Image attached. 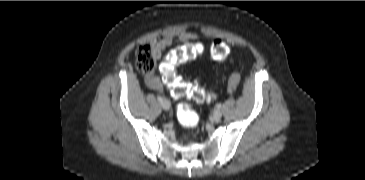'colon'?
Instances as JSON below:
<instances>
[{"instance_id": "colon-1", "label": "colon", "mask_w": 365, "mask_h": 180, "mask_svg": "<svg viewBox=\"0 0 365 180\" xmlns=\"http://www.w3.org/2000/svg\"><path fill=\"white\" fill-rule=\"evenodd\" d=\"M203 52L200 42H190L176 47L165 58L161 66L162 77L174 96L178 98H192L197 102H211L215 98L213 92H206L194 79L181 80L176 72V67L186 61L197 58ZM228 53L226 44L221 39H216L211 45V55L215 60H223ZM137 69L143 74H151L156 68V56L153 48L144 44L135 51ZM239 82V74H233L228 83L230 90H234ZM177 116L180 123L194 129L199 123V116L190 105L182 100L177 107Z\"/></svg>"}]
</instances>
